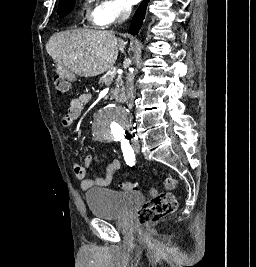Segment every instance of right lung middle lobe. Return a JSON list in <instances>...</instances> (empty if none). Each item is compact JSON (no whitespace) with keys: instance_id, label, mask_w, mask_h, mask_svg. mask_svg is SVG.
Instances as JSON below:
<instances>
[{"instance_id":"right-lung-middle-lobe-1","label":"right lung middle lobe","mask_w":256,"mask_h":267,"mask_svg":"<svg viewBox=\"0 0 256 267\" xmlns=\"http://www.w3.org/2000/svg\"><path fill=\"white\" fill-rule=\"evenodd\" d=\"M75 0H63L59 2V8H58V15L60 17H64L66 14H68L73 6H74Z\"/></svg>"}]
</instances>
